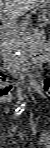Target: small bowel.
<instances>
[{"label": "small bowel", "mask_w": 50, "mask_h": 148, "mask_svg": "<svg viewBox=\"0 0 50 148\" xmlns=\"http://www.w3.org/2000/svg\"><path fill=\"white\" fill-rule=\"evenodd\" d=\"M40 144L42 145V147L49 148L50 147L49 137L47 135L41 136Z\"/></svg>", "instance_id": "c3829d8e"}]
</instances>
